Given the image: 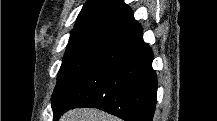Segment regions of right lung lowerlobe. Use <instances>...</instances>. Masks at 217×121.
Returning <instances> with one entry per match:
<instances>
[{"mask_svg": "<svg viewBox=\"0 0 217 121\" xmlns=\"http://www.w3.org/2000/svg\"><path fill=\"white\" fill-rule=\"evenodd\" d=\"M153 54L131 21L91 66L52 99L54 120L76 107L98 108L125 121H152L157 95Z\"/></svg>", "mask_w": 217, "mask_h": 121, "instance_id": "98d812e1", "label": "right lung lower lobe"}]
</instances>
